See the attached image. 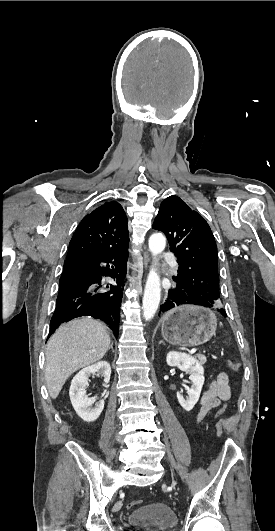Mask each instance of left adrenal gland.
<instances>
[{
  "label": "left adrenal gland",
  "mask_w": 275,
  "mask_h": 531,
  "mask_svg": "<svg viewBox=\"0 0 275 531\" xmlns=\"http://www.w3.org/2000/svg\"><path fill=\"white\" fill-rule=\"evenodd\" d=\"M161 343H163V345H165L164 341H160L159 345H161Z\"/></svg>",
  "instance_id": "obj_1"
}]
</instances>
